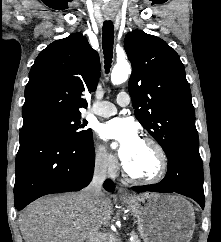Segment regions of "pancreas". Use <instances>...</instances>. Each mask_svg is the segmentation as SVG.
I'll list each match as a JSON object with an SVG mask.
<instances>
[{
	"label": "pancreas",
	"instance_id": "pancreas-1",
	"mask_svg": "<svg viewBox=\"0 0 221 242\" xmlns=\"http://www.w3.org/2000/svg\"><path fill=\"white\" fill-rule=\"evenodd\" d=\"M131 236L133 237V240L131 242H141V240L139 239V236L137 235V233L132 232Z\"/></svg>",
	"mask_w": 221,
	"mask_h": 242
}]
</instances>
